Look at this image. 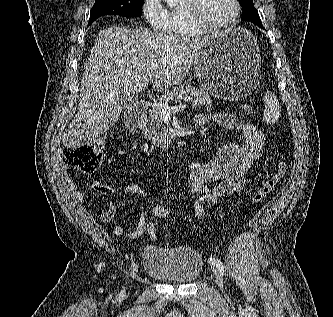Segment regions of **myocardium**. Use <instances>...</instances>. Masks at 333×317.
I'll use <instances>...</instances> for the list:
<instances>
[{"mask_svg": "<svg viewBox=\"0 0 333 317\" xmlns=\"http://www.w3.org/2000/svg\"><path fill=\"white\" fill-rule=\"evenodd\" d=\"M235 12L230 19L220 24H212L206 21L203 17L204 0H186L185 10L191 23L203 33L222 30L233 25L240 16L241 3L240 0H233Z\"/></svg>", "mask_w": 333, "mask_h": 317, "instance_id": "1", "label": "myocardium"}]
</instances>
